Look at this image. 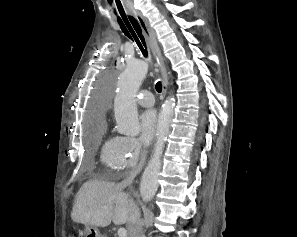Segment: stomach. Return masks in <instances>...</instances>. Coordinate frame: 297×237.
Segmentation results:
<instances>
[{
    "mask_svg": "<svg viewBox=\"0 0 297 237\" xmlns=\"http://www.w3.org/2000/svg\"><path fill=\"white\" fill-rule=\"evenodd\" d=\"M85 237H103L97 227L92 225H86L84 229Z\"/></svg>",
    "mask_w": 297,
    "mask_h": 237,
    "instance_id": "stomach-1",
    "label": "stomach"
}]
</instances>
